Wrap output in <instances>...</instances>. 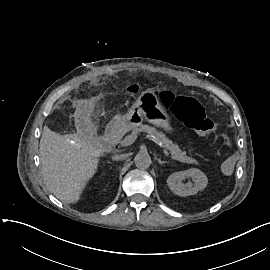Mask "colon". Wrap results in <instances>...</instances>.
I'll use <instances>...</instances> for the list:
<instances>
[{"label":"colon","instance_id":"5ec220e1","mask_svg":"<svg viewBox=\"0 0 270 270\" xmlns=\"http://www.w3.org/2000/svg\"><path fill=\"white\" fill-rule=\"evenodd\" d=\"M127 89L131 94H137L140 88L136 84H130ZM158 97L164 108L169 110L172 116L188 128L200 134L217 136L214 132L215 124L213 120L205 116L200 103L196 99L171 90L158 92ZM220 169L223 175L230 176L234 172V162L225 159L221 162Z\"/></svg>","mask_w":270,"mask_h":270}]
</instances>
